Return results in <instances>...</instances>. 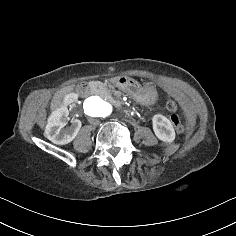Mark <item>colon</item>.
I'll use <instances>...</instances> for the list:
<instances>
[{"mask_svg": "<svg viewBox=\"0 0 236 236\" xmlns=\"http://www.w3.org/2000/svg\"><path fill=\"white\" fill-rule=\"evenodd\" d=\"M166 108L171 113V121H172L175 129L178 132H182L184 127H183V125H182V123L180 121V118L176 114L177 105H176L175 101L172 100V99H168L167 102H166Z\"/></svg>", "mask_w": 236, "mask_h": 236, "instance_id": "1", "label": "colon"}]
</instances>
